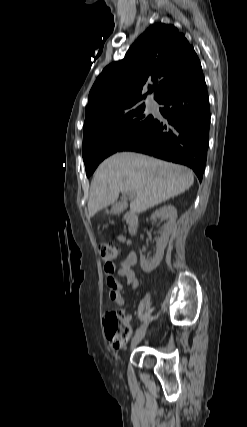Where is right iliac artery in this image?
<instances>
[{
	"instance_id": "1",
	"label": "right iliac artery",
	"mask_w": 247,
	"mask_h": 427,
	"mask_svg": "<svg viewBox=\"0 0 247 427\" xmlns=\"http://www.w3.org/2000/svg\"><path fill=\"white\" fill-rule=\"evenodd\" d=\"M147 326V323L144 322L136 331V334H138L139 332H141L145 327Z\"/></svg>"
}]
</instances>
